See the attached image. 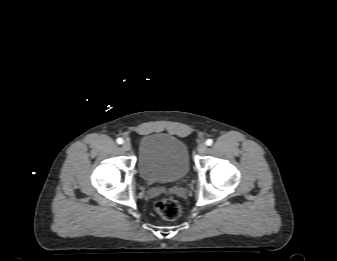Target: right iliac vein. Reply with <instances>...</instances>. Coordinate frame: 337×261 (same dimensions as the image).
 Instances as JSON below:
<instances>
[{"label": "right iliac vein", "instance_id": "right-iliac-vein-1", "mask_svg": "<svg viewBox=\"0 0 337 261\" xmlns=\"http://www.w3.org/2000/svg\"><path fill=\"white\" fill-rule=\"evenodd\" d=\"M122 147L125 151H130L131 150V143L129 141H125L123 143Z\"/></svg>", "mask_w": 337, "mask_h": 261}]
</instances>
